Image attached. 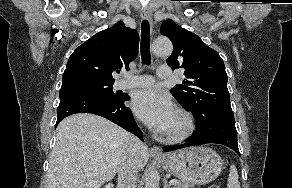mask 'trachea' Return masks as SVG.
<instances>
[{"label": "trachea", "mask_w": 292, "mask_h": 188, "mask_svg": "<svg viewBox=\"0 0 292 188\" xmlns=\"http://www.w3.org/2000/svg\"><path fill=\"white\" fill-rule=\"evenodd\" d=\"M140 52L143 64L151 63L150 56V25L147 20H144L141 24V44Z\"/></svg>", "instance_id": "obj_1"}]
</instances>
